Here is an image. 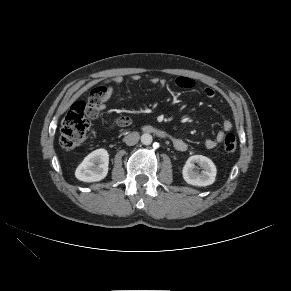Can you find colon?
I'll list each match as a JSON object with an SVG mask.
<instances>
[{
    "label": "colon",
    "instance_id": "5ec220e1",
    "mask_svg": "<svg viewBox=\"0 0 291 291\" xmlns=\"http://www.w3.org/2000/svg\"><path fill=\"white\" fill-rule=\"evenodd\" d=\"M99 96L98 90H92L88 103L79 100L70 107L61 125L60 144L62 148L72 150L84 142L90 127L89 107L99 100ZM119 120L123 125L130 123L127 117H121ZM223 147L229 154L236 151L237 143L232 133L225 134Z\"/></svg>",
    "mask_w": 291,
    "mask_h": 291
}]
</instances>
